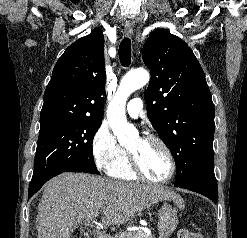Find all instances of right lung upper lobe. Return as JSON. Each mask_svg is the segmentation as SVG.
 Returning a JSON list of instances; mask_svg holds the SVG:
<instances>
[{"instance_id":"1","label":"right lung upper lobe","mask_w":247,"mask_h":238,"mask_svg":"<svg viewBox=\"0 0 247 238\" xmlns=\"http://www.w3.org/2000/svg\"><path fill=\"white\" fill-rule=\"evenodd\" d=\"M106 71L99 28L71 44L57 61L44 93L40 126L103 117Z\"/></svg>"}]
</instances>
